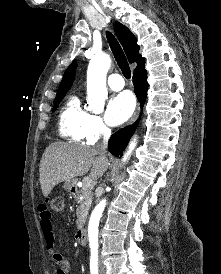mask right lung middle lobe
<instances>
[{
    "instance_id": "dd1d6c3e",
    "label": "right lung middle lobe",
    "mask_w": 221,
    "mask_h": 274,
    "mask_svg": "<svg viewBox=\"0 0 221 274\" xmlns=\"http://www.w3.org/2000/svg\"><path fill=\"white\" fill-rule=\"evenodd\" d=\"M65 94L57 95L54 100L53 111H55L59 105V102L64 98Z\"/></svg>"
}]
</instances>
